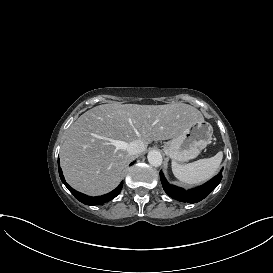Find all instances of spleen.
<instances>
[{
    "label": "spleen",
    "mask_w": 273,
    "mask_h": 273,
    "mask_svg": "<svg viewBox=\"0 0 273 273\" xmlns=\"http://www.w3.org/2000/svg\"><path fill=\"white\" fill-rule=\"evenodd\" d=\"M223 158V153L218 152L215 156L189 164H178L172 161V171L177 179L187 184H198L213 177Z\"/></svg>",
    "instance_id": "obj_1"
}]
</instances>
